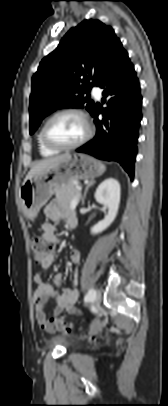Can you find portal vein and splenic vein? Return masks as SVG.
I'll return each mask as SVG.
<instances>
[{
    "label": "portal vein and splenic vein",
    "mask_w": 168,
    "mask_h": 406,
    "mask_svg": "<svg viewBox=\"0 0 168 406\" xmlns=\"http://www.w3.org/2000/svg\"><path fill=\"white\" fill-rule=\"evenodd\" d=\"M79 196H80V193H78L77 196L72 200L71 206H70L72 210L76 208V206L78 204Z\"/></svg>",
    "instance_id": "18ae733b"
}]
</instances>
